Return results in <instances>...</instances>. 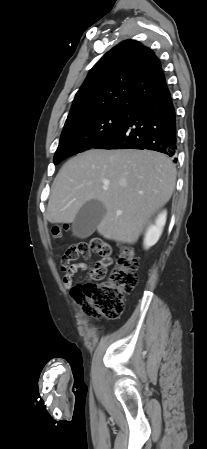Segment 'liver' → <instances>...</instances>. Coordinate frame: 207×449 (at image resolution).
<instances>
[{
	"label": "liver",
	"mask_w": 207,
	"mask_h": 449,
	"mask_svg": "<svg viewBox=\"0 0 207 449\" xmlns=\"http://www.w3.org/2000/svg\"><path fill=\"white\" fill-rule=\"evenodd\" d=\"M175 181L176 168L164 154L91 149L60 169L46 218L53 224L72 223L80 208L95 199L106 207L98 233L109 240L133 244L151 216L170 200Z\"/></svg>",
	"instance_id": "1"
}]
</instances>
